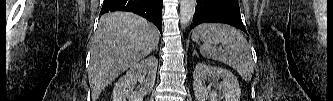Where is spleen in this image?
I'll list each match as a JSON object with an SVG mask.
<instances>
[{
  "label": "spleen",
  "instance_id": "3e777b00",
  "mask_svg": "<svg viewBox=\"0 0 333 101\" xmlns=\"http://www.w3.org/2000/svg\"><path fill=\"white\" fill-rule=\"evenodd\" d=\"M192 39H201L200 53L205 58L215 59L233 67L245 81H250L254 64L250 47L245 37L235 28L224 24H202L195 28ZM221 44L224 53H217L216 45Z\"/></svg>",
  "mask_w": 333,
  "mask_h": 101
}]
</instances>
